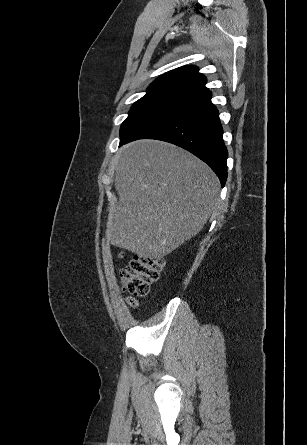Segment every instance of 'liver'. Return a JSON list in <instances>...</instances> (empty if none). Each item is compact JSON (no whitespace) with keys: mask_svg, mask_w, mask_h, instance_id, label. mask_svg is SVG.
<instances>
[{"mask_svg":"<svg viewBox=\"0 0 307 445\" xmlns=\"http://www.w3.org/2000/svg\"><path fill=\"white\" fill-rule=\"evenodd\" d=\"M219 178L191 152L162 140H136L120 150L119 202L106 237L142 259H163L195 237L220 198Z\"/></svg>","mask_w":307,"mask_h":445,"instance_id":"liver-1","label":"liver"}]
</instances>
